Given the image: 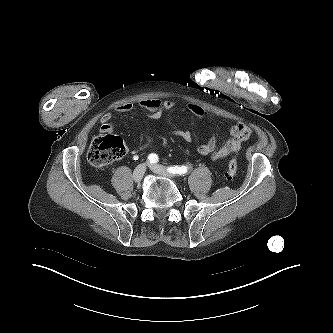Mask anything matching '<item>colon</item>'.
<instances>
[{
    "mask_svg": "<svg viewBox=\"0 0 333 333\" xmlns=\"http://www.w3.org/2000/svg\"><path fill=\"white\" fill-rule=\"evenodd\" d=\"M126 154L123 141L113 135L98 136L94 138L87 152L88 162L96 167L106 166ZM237 174V162L233 158L228 164L226 177L231 180Z\"/></svg>",
    "mask_w": 333,
    "mask_h": 333,
    "instance_id": "obj_1",
    "label": "colon"
}]
</instances>
